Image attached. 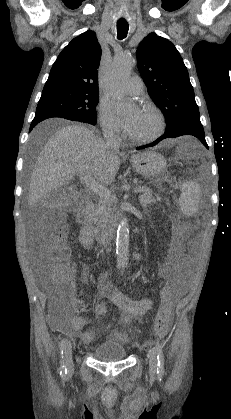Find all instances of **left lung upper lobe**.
<instances>
[{"label": "left lung upper lobe", "mask_w": 231, "mask_h": 419, "mask_svg": "<svg viewBox=\"0 0 231 419\" xmlns=\"http://www.w3.org/2000/svg\"><path fill=\"white\" fill-rule=\"evenodd\" d=\"M137 60L150 97L165 115V133L201 123L187 68L172 42L150 33L138 46Z\"/></svg>", "instance_id": "obj_1"}]
</instances>
